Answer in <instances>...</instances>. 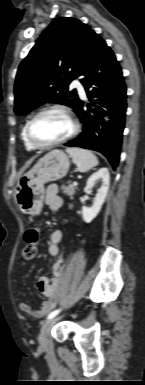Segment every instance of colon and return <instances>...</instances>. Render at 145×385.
<instances>
[{"instance_id":"1","label":"colon","mask_w":145,"mask_h":385,"mask_svg":"<svg viewBox=\"0 0 145 385\" xmlns=\"http://www.w3.org/2000/svg\"><path fill=\"white\" fill-rule=\"evenodd\" d=\"M40 229L38 226L29 227L26 229L23 237L24 246L21 250V260L23 263L31 262L37 253V244L39 241ZM63 270V263L58 262L54 265L53 271L60 274Z\"/></svg>"}]
</instances>
